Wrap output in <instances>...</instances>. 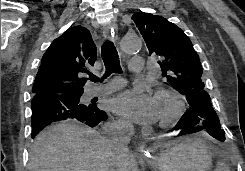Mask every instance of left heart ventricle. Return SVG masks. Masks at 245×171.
Listing matches in <instances>:
<instances>
[{"mask_svg":"<svg viewBox=\"0 0 245 171\" xmlns=\"http://www.w3.org/2000/svg\"><path fill=\"white\" fill-rule=\"evenodd\" d=\"M156 103L158 107L159 118L165 116L172 108V102L164 98L156 97Z\"/></svg>","mask_w":245,"mask_h":171,"instance_id":"b2bd125f","label":"left heart ventricle"}]
</instances>
